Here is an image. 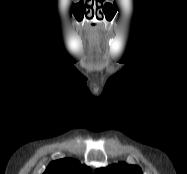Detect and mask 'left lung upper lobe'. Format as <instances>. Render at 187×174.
Here are the masks:
<instances>
[{"label":"left lung upper lobe","mask_w":187,"mask_h":174,"mask_svg":"<svg viewBox=\"0 0 187 174\" xmlns=\"http://www.w3.org/2000/svg\"><path fill=\"white\" fill-rule=\"evenodd\" d=\"M94 174H142V171L138 166L120 162L106 168L96 169Z\"/></svg>","instance_id":"left-lung-upper-lobe-1"}]
</instances>
